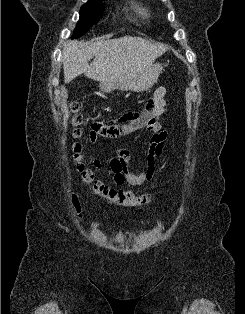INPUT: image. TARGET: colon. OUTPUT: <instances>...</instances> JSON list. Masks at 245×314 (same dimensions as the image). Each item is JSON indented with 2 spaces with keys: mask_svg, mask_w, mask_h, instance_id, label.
Wrapping results in <instances>:
<instances>
[{
  "mask_svg": "<svg viewBox=\"0 0 245 314\" xmlns=\"http://www.w3.org/2000/svg\"><path fill=\"white\" fill-rule=\"evenodd\" d=\"M70 112V133L71 137L74 140L70 147L71 161L74 164L75 170L78 173L81 182L84 185L89 186L95 195L106 199L112 204H117L125 207L149 205L153 200V197L149 194L138 195L129 190L115 189L95 179L93 172L85 167L82 160V145L78 140L82 135L81 126L84 122V117L80 112V107L78 103H71ZM73 202L76 210L80 211L79 201L76 196H73Z\"/></svg>",
  "mask_w": 245,
  "mask_h": 314,
  "instance_id": "1",
  "label": "colon"
}]
</instances>
